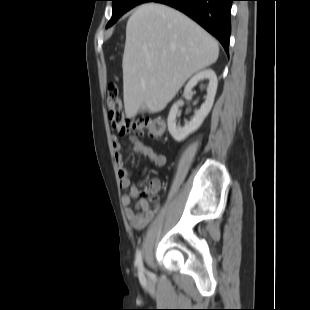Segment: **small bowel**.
I'll use <instances>...</instances> for the list:
<instances>
[{
    "label": "small bowel",
    "instance_id": "obj_1",
    "mask_svg": "<svg viewBox=\"0 0 310 310\" xmlns=\"http://www.w3.org/2000/svg\"><path fill=\"white\" fill-rule=\"evenodd\" d=\"M130 140L136 153L148 158L158 167L166 164V156L164 154L155 152L150 145L136 137H130ZM112 146L118 166L120 187L125 191L121 198L125 216L134 229L142 230L154 218L155 210H151L144 199L139 200L135 206H132L133 200L139 195V190L131 178V172L124 166L121 143L118 136L112 137ZM146 171L147 168L143 169L142 172L145 173Z\"/></svg>",
    "mask_w": 310,
    "mask_h": 310
}]
</instances>
